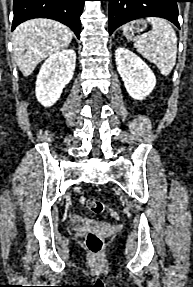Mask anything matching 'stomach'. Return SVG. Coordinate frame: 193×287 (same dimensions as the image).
I'll list each match as a JSON object with an SVG mask.
<instances>
[{
  "instance_id": "0dacf381",
  "label": "stomach",
  "mask_w": 193,
  "mask_h": 287,
  "mask_svg": "<svg viewBox=\"0 0 193 287\" xmlns=\"http://www.w3.org/2000/svg\"><path fill=\"white\" fill-rule=\"evenodd\" d=\"M147 28L146 22L137 21L134 22L132 27L129 29L131 33H141Z\"/></svg>"
}]
</instances>
